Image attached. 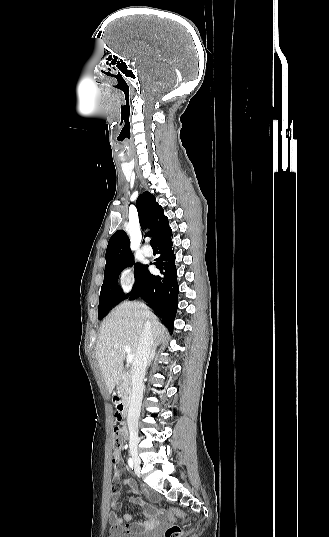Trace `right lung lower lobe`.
<instances>
[{"label": "right lung lower lobe", "mask_w": 329, "mask_h": 537, "mask_svg": "<svg viewBox=\"0 0 329 537\" xmlns=\"http://www.w3.org/2000/svg\"><path fill=\"white\" fill-rule=\"evenodd\" d=\"M171 236L170 230L157 241L160 256L154 264L161 275H152L147 269L148 266H144L139 285L130 294V299L142 298L154 309L163 324L173 328L178 308L179 286Z\"/></svg>", "instance_id": "98d812e1"}]
</instances>
